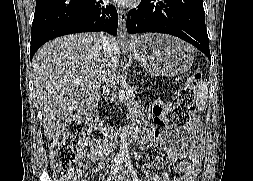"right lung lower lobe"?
Returning a JSON list of instances; mask_svg holds the SVG:
<instances>
[{
  "label": "right lung lower lobe",
  "instance_id": "right-lung-lower-lobe-1",
  "mask_svg": "<svg viewBox=\"0 0 253 181\" xmlns=\"http://www.w3.org/2000/svg\"><path fill=\"white\" fill-rule=\"evenodd\" d=\"M108 12V13H107ZM105 13L111 17H105ZM118 14L96 0H37L31 30L30 59L45 42L79 32L105 31L117 35Z\"/></svg>",
  "mask_w": 253,
  "mask_h": 181
}]
</instances>
